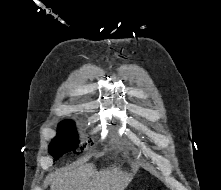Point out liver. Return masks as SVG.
Returning <instances> with one entry per match:
<instances>
[{
  "label": "liver",
  "instance_id": "obj_1",
  "mask_svg": "<svg viewBox=\"0 0 221 190\" xmlns=\"http://www.w3.org/2000/svg\"><path fill=\"white\" fill-rule=\"evenodd\" d=\"M138 169L124 172L120 166L97 171L94 164H85L72 170H59L50 174V190H124Z\"/></svg>",
  "mask_w": 221,
  "mask_h": 190
}]
</instances>
